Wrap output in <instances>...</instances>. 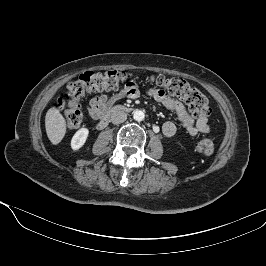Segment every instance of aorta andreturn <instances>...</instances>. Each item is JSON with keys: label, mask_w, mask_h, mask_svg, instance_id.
<instances>
[{"label": "aorta", "mask_w": 266, "mask_h": 266, "mask_svg": "<svg viewBox=\"0 0 266 266\" xmlns=\"http://www.w3.org/2000/svg\"><path fill=\"white\" fill-rule=\"evenodd\" d=\"M145 117V114L142 110H135L133 113V118L136 121H142Z\"/></svg>", "instance_id": "aorta-1"}]
</instances>
